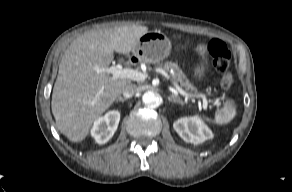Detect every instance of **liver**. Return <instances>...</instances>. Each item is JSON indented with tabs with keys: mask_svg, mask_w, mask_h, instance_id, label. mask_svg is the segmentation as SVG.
<instances>
[{
	"mask_svg": "<svg viewBox=\"0 0 292 192\" xmlns=\"http://www.w3.org/2000/svg\"><path fill=\"white\" fill-rule=\"evenodd\" d=\"M146 33L145 26L86 32L72 41L59 65L51 108L58 130L72 142L86 138L93 123L121 95L131 79H113L96 68L109 67L113 52L128 54Z\"/></svg>",
	"mask_w": 292,
	"mask_h": 192,
	"instance_id": "obj_1",
	"label": "liver"
}]
</instances>
